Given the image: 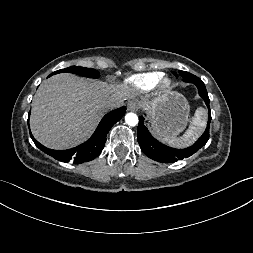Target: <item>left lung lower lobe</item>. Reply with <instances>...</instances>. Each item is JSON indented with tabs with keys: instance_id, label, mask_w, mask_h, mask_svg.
<instances>
[{
	"instance_id": "0a47b994",
	"label": "left lung lower lobe",
	"mask_w": 253,
	"mask_h": 253,
	"mask_svg": "<svg viewBox=\"0 0 253 253\" xmlns=\"http://www.w3.org/2000/svg\"><path fill=\"white\" fill-rule=\"evenodd\" d=\"M185 81L194 83L198 90L199 95L204 99L209 109L208 124L203 135L193 144L191 147L186 149H174L168 147L151 136L147 128L144 126V117H139V124L137 130V137L140 148L142 151L151 159L158 162L172 163L183 158H187L197 152L202 146L206 144L209 139V126L211 121V113L209 108V97L202 80L195 75L191 74Z\"/></svg>"
}]
</instances>
